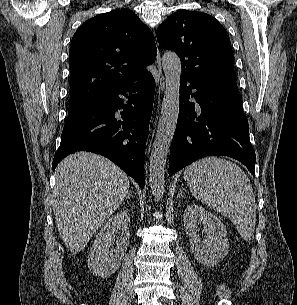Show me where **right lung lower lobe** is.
I'll return each instance as SVG.
<instances>
[{"mask_svg": "<svg viewBox=\"0 0 297 305\" xmlns=\"http://www.w3.org/2000/svg\"><path fill=\"white\" fill-rule=\"evenodd\" d=\"M155 92L150 72L113 87L91 103L68 114L53 170L76 151L101 154L144 188V155ZM122 110V111H119Z\"/></svg>", "mask_w": 297, "mask_h": 305, "instance_id": "1", "label": "right lung lower lobe"}]
</instances>
